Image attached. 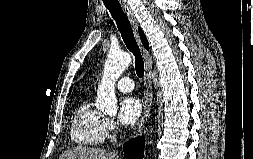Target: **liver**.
Returning <instances> with one entry per match:
<instances>
[{
    "label": "liver",
    "mask_w": 253,
    "mask_h": 159,
    "mask_svg": "<svg viewBox=\"0 0 253 159\" xmlns=\"http://www.w3.org/2000/svg\"><path fill=\"white\" fill-rule=\"evenodd\" d=\"M59 159H120L114 153L100 148L79 146L64 152Z\"/></svg>",
    "instance_id": "6515ba94"
}]
</instances>
